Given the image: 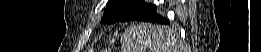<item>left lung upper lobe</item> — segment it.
Listing matches in <instances>:
<instances>
[{
	"mask_svg": "<svg viewBox=\"0 0 261 52\" xmlns=\"http://www.w3.org/2000/svg\"><path fill=\"white\" fill-rule=\"evenodd\" d=\"M152 6L144 0H109L101 21L112 24L116 21L137 20Z\"/></svg>",
	"mask_w": 261,
	"mask_h": 52,
	"instance_id": "5c2ea615",
	"label": "left lung upper lobe"
}]
</instances>
